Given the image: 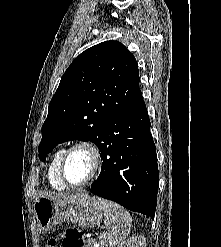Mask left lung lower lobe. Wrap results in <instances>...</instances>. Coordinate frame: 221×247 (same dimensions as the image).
Segmentation results:
<instances>
[{
	"label": "left lung lower lobe",
	"instance_id": "1",
	"mask_svg": "<svg viewBox=\"0 0 221 247\" xmlns=\"http://www.w3.org/2000/svg\"><path fill=\"white\" fill-rule=\"evenodd\" d=\"M145 104L115 117L103 132L101 173L91 192L154 218L159 174Z\"/></svg>",
	"mask_w": 221,
	"mask_h": 247
}]
</instances>
